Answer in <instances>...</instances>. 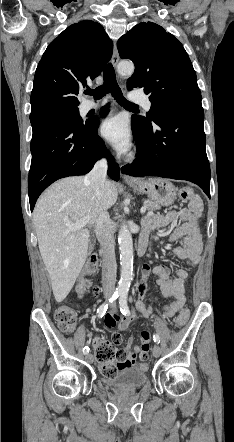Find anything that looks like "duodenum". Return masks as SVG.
<instances>
[{"label":"duodenum","mask_w":234,"mask_h":442,"mask_svg":"<svg viewBox=\"0 0 234 442\" xmlns=\"http://www.w3.org/2000/svg\"><path fill=\"white\" fill-rule=\"evenodd\" d=\"M149 247V240L147 237L142 236L138 242L137 253L142 256L146 253Z\"/></svg>","instance_id":"1"}]
</instances>
